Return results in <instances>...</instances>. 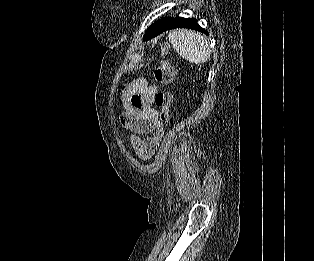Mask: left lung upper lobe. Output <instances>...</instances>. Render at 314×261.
<instances>
[{"instance_id": "obj_1", "label": "left lung upper lobe", "mask_w": 314, "mask_h": 261, "mask_svg": "<svg viewBox=\"0 0 314 261\" xmlns=\"http://www.w3.org/2000/svg\"><path fill=\"white\" fill-rule=\"evenodd\" d=\"M172 18L167 17V18H162L158 20L157 22L153 23L152 25L149 26L147 29L146 33L143 36L144 41H148L153 38V36L165 25L167 24Z\"/></svg>"}]
</instances>
